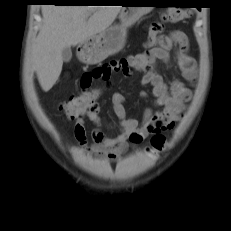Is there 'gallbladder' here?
<instances>
[{"label":"gallbladder","mask_w":231,"mask_h":231,"mask_svg":"<svg viewBox=\"0 0 231 231\" xmlns=\"http://www.w3.org/2000/svg\"><path fill=\"white\" fill-rule=\"evenodd\" d=\"M72 58V51L70 47H65L62 51V59L64 62L68 63Z\"/></svg>","instance_id":"gallbladder-1"}]
</instances>
